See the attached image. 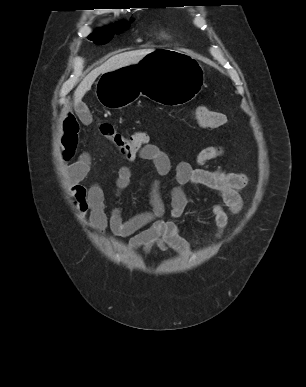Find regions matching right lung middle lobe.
<instances>
[{
	"instance_id": "1",
	"label": "right lung middle lobe",
	"mask_w": 306,
	"mask_h": 387,
	"mask_svg": "<svg viewBox=\"0 0 306 387\" xmlns=\"http://www.w3.org/2000/svg\"><path fill=\"white\" fill-rule=\"evenodd\" d=\"M128 27V24H121L99 29L97 32L91 34L88 39L92 40L95 44H105L113 38L114 34H119Z\"/></svg>"
}]
</instances>
